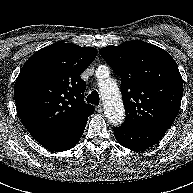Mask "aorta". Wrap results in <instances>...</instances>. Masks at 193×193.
<instances>
[{
  "mask_svg": "<svg viewBox=\"0 0 193 193\" xmlns=\"http://www.w3.org/2000/svg\"><path fill=\"white\" fill-rule=\"evenodd\" d=\"M100 79V92L104 104L105 116L113 125H120L124 121L125 109L121 93L113 79L109 78V69L101 67L96 71Z\"/></svg>",
  "mask_w": 193,
  "mask_h": 193,
  "instance_id": "obj_1",
  "label": "aorta"
}]
</instances>
